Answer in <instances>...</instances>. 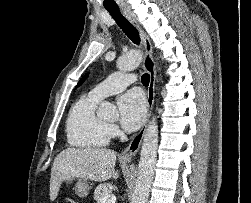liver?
I'll list each match as a JSON object with an SVG mask.
<instances>
[{"label":"liver","mask_w":251,"mask_h":203,"mask_svg":"<svg viewBox=\"0 0 251 203\" xmlns=\"http://www.w3.org/2000/svg\"><path fill=\"white\" fill-rule=\"evenodd\" d=\"M116 154L106 148H67L56 156L51 169L50 200L54 201L62 182L68 177L96 182L117 179Z\"/></svg>","instance_id":"obj_1"}]
</instances>
